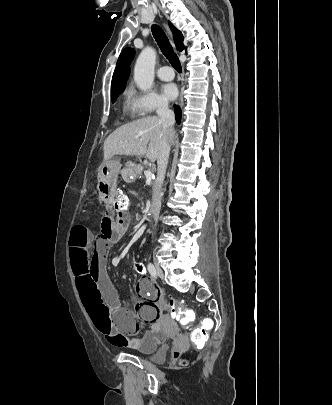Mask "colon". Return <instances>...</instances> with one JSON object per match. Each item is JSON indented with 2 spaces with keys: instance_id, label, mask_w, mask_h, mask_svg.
<instances>
[{
  "instance_id": "5ec220e1",
  "label": "colon",
  "mask_w": 332,
  "mask_h": 405,
  "mask_svg": "<svg viewBox=\"0 0 332 405\" xmlns=\"http://www.w3.org/2000/svg\"><path fill=\"white\" fill-rule=\"evenodd\" d=\"M114 191L115 202L110 205V210L112 212L129 211L133 206L132 199H128L127 194H125L124 191L117 185L114 186ZM133 268L137 273L142 274L146 270V263L141 258H136L133 263ZM169 307L171 311L178 317L179 324H183L185 328H191L193 326L195 318L193 313L187 307H183L174 298L169 299ZM200 322L202 323L201 326L195 329L192 333V340L196 344H202L206 341L208 337L206 324L211 322V317L209 315H202L200 317Z\"/></svg>"
}]
</instances>
